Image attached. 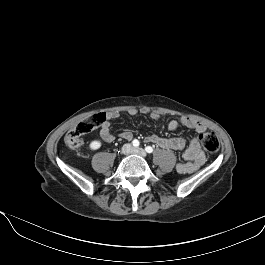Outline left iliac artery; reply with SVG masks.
<instances>
[{
  "instance_id": "left-iliac-artery-1",
  "label": "left iliac artery",
  "mask_w": 265,
  "mask_h": 265,
  "mask_svg": "<svg viewBox=\"0 0 265 265\" xmlns=\"http://www.w3.org/2000/svg\"><path fill=\"white\" fill-rule=\"evenodd\" d=\"M145 151H146L147 153H152V152H153V148H152L151 146H147V147L145 148Z\"/></svg>"
}]
</instances>
